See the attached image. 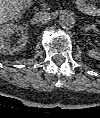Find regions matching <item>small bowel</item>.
<instances>
[{
    "label": "small bowel",
    "mask_w": 100,
    "mask_h": 118,
    "mask_svg": "<svg viewBox=\"0 0 100 118\" xmlns=\"http://www.w3.org/2000/svg\"><path fill=\"white\" fill-rule=\"evenodd\" d=\"M77 6L84 11L93 12L92 7L86 2V0H76Z\"/></svg>",
    "instance_id": "c3829d8e"
}]
</instances>
